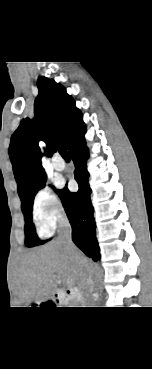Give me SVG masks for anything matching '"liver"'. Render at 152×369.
Returning a JSON list of instances; mask_svg holds the SVG:
<instances>
[{
    "instance_id": "6515ba94",
    "label": "liver",
    "mask_w": 152,
    "mask_h": 369,
    "mask_svg": "<svg viewBox=\"0 0 152 369\" xmlns=\"http://www.w3.org/2000/svg\"><path fill=\"white\" fill-rule=\"evenodd\" d=\"M77 255L90 266L89 260L78 250ZM57 280L70 287L80 285V266L58 239L24 256L18 275L21 303L40 304L50 299L56 291Z\"/></svg>"
}]
</instances>
